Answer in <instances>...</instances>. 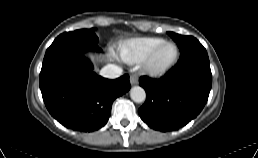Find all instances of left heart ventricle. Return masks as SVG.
<instances>
[{"instance_id":"b2bd125f","label":"left heart ventricle","mask_w":258,"mask_h":158,"mask_svg":"<svg viewBox=\"0 0 258 158\" xmlns=\"http://www.w3.org/2000/svg\"><path fill=\"white\" fill-rule=\"evenodd\" d=\"M175 55V48L171 44L163 45L156 53L152 60V66L154 68H160L170 62Z\"/></svg>"}]
</instances>
